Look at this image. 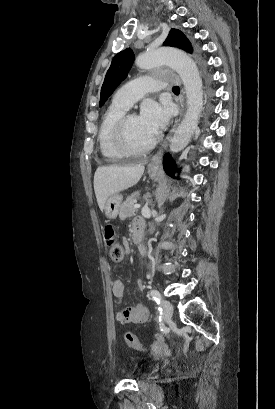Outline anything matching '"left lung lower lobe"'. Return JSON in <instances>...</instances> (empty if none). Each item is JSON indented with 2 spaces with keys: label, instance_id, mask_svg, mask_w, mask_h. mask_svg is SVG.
I'll return each mask as SVG.
<instances>
[{
  "label": "left lung lower lobe",
  "instance_id": "left-lung-lower-lobe-1",
  "mask_svg": "<svg viewBox=\"0 0 275 409\" xmlns=\"http://www.w3.org/2000/svg\"><path fill=\"white\" fill-rule=\"evenodd\" d=\"M163 168L169 176L174 177L175 164L168 153L163 157Z\"/></svg>",
  "mask_w": 275,
  "mask_h": 409
}]
</instances>
